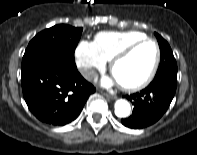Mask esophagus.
I'll return each mask as SVG.
<instances>
[{
    "label": "esophagus",
    "instance_id": "34e87169",
    "mask_svg": "<svg viewBox=\"0 0 197 155\" xmlns=\"http://www.w3.org/2000/svg\"><path fill=\"white\" fill-rule=\"evenodd\" d=\"M108 99H116L117 97L115 95H110V94H107L105 93L104 94Z\"/></svg>",
    "mask_w": 197,
    "mask_h": 155
}]
</instances>
